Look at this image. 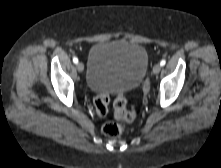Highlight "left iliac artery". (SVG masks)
<instances>
[{
  "label": "left iliac artery",
  "instance_id": "44dca946",
  "mask_svg": "<svg viewBox=\"0 0 221 168\" xmlns=\"http://www.w3.org/2000/svg\"><path fill=\"white\" fill-rule=\"evenodd\" d=\"M165 64H166V60L162 59L161 62H160V66H164Z\"/></svg>",
  "mask_w": 221,
  "mask_h": 168
}]
</instances>
